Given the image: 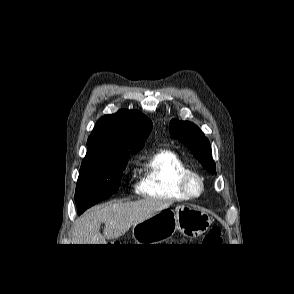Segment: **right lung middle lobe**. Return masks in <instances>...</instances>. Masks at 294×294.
<instances>
[{
	"label": "right lung middle lobe",
	"instance_id": "1",
	"mask_svg": "<svg viewBox=\"0 0 294 294\" xmlns=\"http://www.w3.org/2000/svg\"><path fill=\"white\" fill-rule=\"evenodd\" d=\"M129 156V152L118 151L86 154L75 193L78 211H85L118 191Z\"/></svg>",
	"mask_w": 294,
	"mask_h": 294
}]
</instances>
